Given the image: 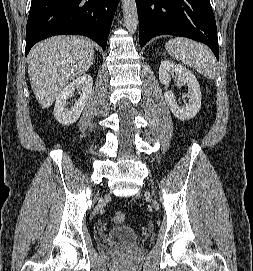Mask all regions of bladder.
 <instances>
[{"label":"bladder","instance_id":"1","mask_svg":"<svg viewBox=\"0 0 253 271\" xmlns=\"http://www.w3.org/2000/svg\"><path fill=\"white\" fill-rule=\"evenodd\" d=\"M138 241L137 231L129 225H115L107 233L105 242L109 245H133Z\"/></svg>","mask_w":253,"mask_h":271}]
</instances>
